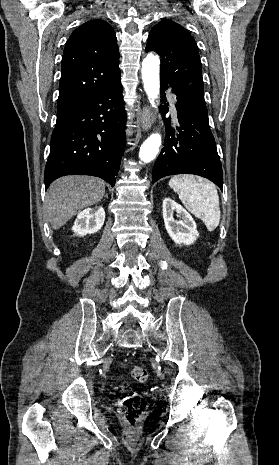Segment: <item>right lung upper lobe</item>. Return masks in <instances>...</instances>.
I'll return each instance as SVG.
<instances>
[{"label": "right lung upper lobe", "mask_w": 279, "mask_h": 465, "mask_svg": "<svg viewBox=\"0 0 279 465\" xmlns=\"http://www.w3.org/2000/svg\"><path fill=\"white\" fill-rule=\"evenodd\" d=\"M119 50L112 27L91 20L66 43L61 65L57 123L120 79Z\"/></svg>", "instance_id": "cb5924a9"}]
</instances>
